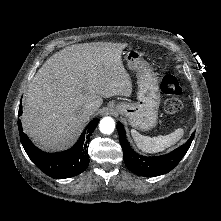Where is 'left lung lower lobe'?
Instances as JSON below:
<instances>
[{
  "label": "left lung lower lobe",
  "instance_id": "0a47b994",
  "mask_svg": "<svg viewBox=\"0 0 221 221\" xmlns=\"http://www.w3.org/2000/svg\"><path fill=\"white\" fill-rule=\"evenodd\" d=\"M117 130L127 168L132 173L144 177H155L171 171L186 154L195 136V132H193L185 144L166 155L146 157L137 154L131 148L126 139L124 127L120 122H117Z\"/></svg>",
  "mask_w": 221,
  "mask_h": 221
}]
</instances>
